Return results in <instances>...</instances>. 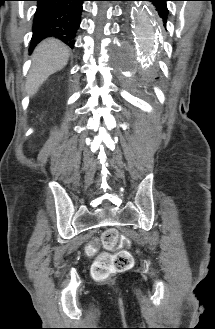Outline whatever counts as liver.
Masks as SVG:
<instances>
[{
	"label": "liver",
	"instance_id": "liver-1",
	"mask_svg": "<svg viewBox=\"0 0 215 329\" xmlns=\"http://www.w3.org/2000/svg\"><path fill=\"white\" fill-rule=\"evenodd\" d=\"M70 49L61 41L48 38L42 41L32 55V66L27 76L26 90L35 95L40 86L68 62Z\"/></svg>",
	"mask_w": 215,
	"mask_h": 329
}]
</instances>
